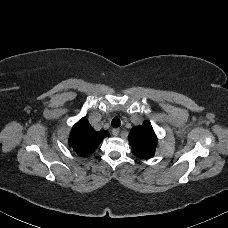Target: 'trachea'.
Wrapping results in <instances>:
<instances>
[{
    "instance_id": "3493384b",
    "label": "trachea",
    "mask_w": 228,
    "mask_h": 228,
    "mask_svg": "<svg viewBox=\"0 0 228 228\" xmlns=\"http://www.w3.org/2000/svg\"><path fill=\"white\" fill-rule=\"evenodd\" d=\"M120 125H121L120 119L118 117H114L111 121V126L113 128H118V127H120Z\"/></svg>"
}]
</instances>
